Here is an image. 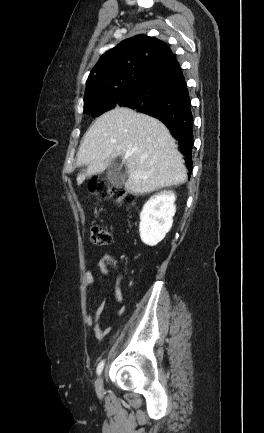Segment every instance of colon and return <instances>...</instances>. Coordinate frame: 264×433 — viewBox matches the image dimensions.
Here are the masks:
<instances>
[{"instance_id":"5ec220e1","label":"colon","mask_w":264,"mask_h":433,"mask_svg":"<svg viewBox=\"0 0 264 433\" xmlns=\"http://www.w3.org/2000/svg\"><path fill=\"white\" fill-rule=\"evenodd\" d=\"M89 192L102 199H112L118 203H132L134 196L124 189L110 186L104 181L92 179ZM91 242L96 246H106L112 243L113 234L109 228L100 224L92 225L90 229Z\"/></svg>"}]
</instances>
